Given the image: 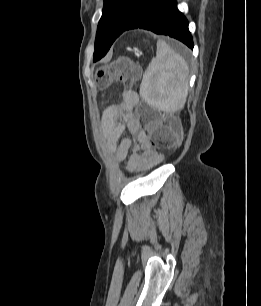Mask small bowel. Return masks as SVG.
Masks as SVG:
<instances>
[{
    "label": "small bowel",
    "instance_id": "small-bowel-1",
    "mask_svg": "<svg viewBox=\"0 0 261 306\" xmlns=\"http://www.w3.org/2000/svg\"><path fill=\"white\" fill-rule=\"evenodd\" d=\"M137 103L138 95L135 91L124 92L122 101L108 109L102 125L106 149L113 154L116 161H127L128 173L154 167L163 159L133 113ZM122 127L128 131L130 137L120 139ZM130 150L132 153L128 156Z\"/></svg>",
    "mask_w": 261,
    "mask_h": 306
}]
</instances>
